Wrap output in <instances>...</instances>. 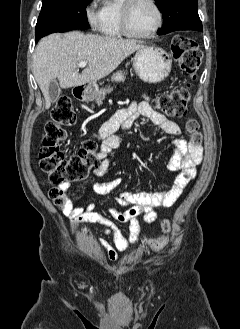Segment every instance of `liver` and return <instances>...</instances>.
<instances>
[{
	"instance_id": "6515ba94",
	"label": "liver",
	"mask_w": 240,
	"mask_h": 329,
	"mask_svg": "<svg viewBox=\"0 0 240 329\" xmlns=\"http://www.w3.org/2000/svg\"><path fill=\"white\" fill-rule=\"evenodd\" d=\"M136 40L83 34L79 31L44 37L33 55V74L46 102L51 105L48 86L56 78L61 88L93 83L114 71L133 52L141 49ZM88 67L77 70L80 62Z\"/></svg>"
}]
</instances>
